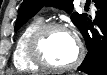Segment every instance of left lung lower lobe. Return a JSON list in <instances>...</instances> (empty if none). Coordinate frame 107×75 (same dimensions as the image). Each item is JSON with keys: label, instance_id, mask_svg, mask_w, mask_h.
Returning <instances> with one entry per match:
<instances>
[{"label": "left lung lower lobe", "instance_id": "obj_1", "mask_svg": "<svg viewBox=\"0 0 107 75\" xmlns=\"http://www.w3.org/2000/svg\"><path fill=\"white\" fill-rule=\"evenodd\" d=\"M96 4L95 24L99 26L103 35L87 21L81 30L85 39L88 53L78 67V70L88 75H107V0H94Z\"/></svg>", "mask_w": 107, "mask_h": 75}]
</instances>
